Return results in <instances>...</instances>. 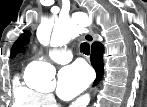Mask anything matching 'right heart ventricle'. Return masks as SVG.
I'll return each instance as SVG.
<instances>
[{"mask_svg":"<svg viewBox=\"0 0 147 107\" xmlns=\"http://www.w3.org/2000/svg\"><path fill=\"white\" fill-rule=\"evenodd\" d=\"M12 97L14 107H41L45 105L43 94L25 85L19 76L13 80Z\"/></svg>","mask_w":147,"mask_h":107,"instance_id":"right-heart-ventricle-1","label":"right heart ventricle"}]
</instances>
